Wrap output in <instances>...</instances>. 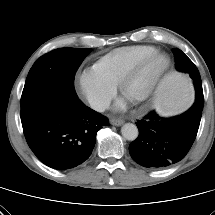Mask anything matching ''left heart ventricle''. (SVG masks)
<instances>
[{
    "mask_svg": "<svg viewBox=\"0 0 215 215\" xmlns=\"http://www.w3.org/2000/svg\"><path fill=\"white\" fill-rule=\"evenodd\" d=\"M163 63V58H156L151 61L139 76L128 86L125 96L132 101V99L142 94Z\"/></svg>",
    "mask_w": 215,
    "mask_h": 215,
    "instance_id": "obj_1",
    "label": "left heart ventricle"
}]
</instances>
